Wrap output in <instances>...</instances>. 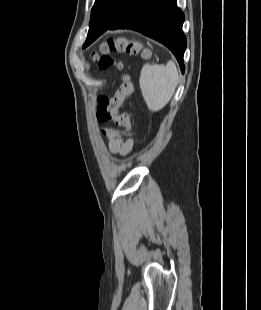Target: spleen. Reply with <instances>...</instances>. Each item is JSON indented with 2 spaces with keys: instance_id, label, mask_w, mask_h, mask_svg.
<instances>
[{
  "instance_id": "obj_1",
  "label": "spleen",
  "mask_w": 261,
  "mask_h": 310,
  "mask_svg": "<svg viewBox=\"0 0 261 310\" xmlns=\"http://www.w3.org/2000/svg\"><path fill=\"white\" fill-rule=\"evenodd\" d=\"M179 80L173 61L166 66L145 64L140 72L139 85L143 98L152 112L164 108L173 96Z\"/></svg>"
}]
</instances>
